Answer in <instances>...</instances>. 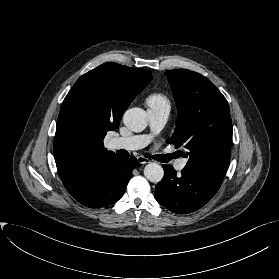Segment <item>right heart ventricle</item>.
Listing matches in <instances>:
<instances>
[{"label":"right heart ventricle","mask_w":279,"mask_h":279,"mask_svg":"<svg viewBox=\"0 0 279 279\" xmlns=\"http://www.w3.org/2000/svg\"><path fill=\"white\" fill-rule=\"evenodd\" d=\"M147 104L149 108L157 109V108H170V102L165 94L161 92H155L148 96Z\"/></svg>","instance_id":"right-heart-ventricle-1"}]
</instances>
